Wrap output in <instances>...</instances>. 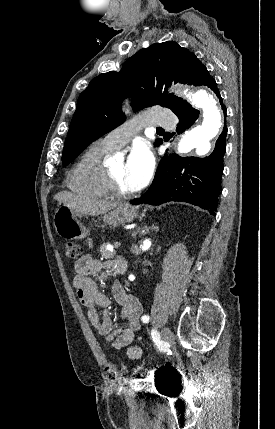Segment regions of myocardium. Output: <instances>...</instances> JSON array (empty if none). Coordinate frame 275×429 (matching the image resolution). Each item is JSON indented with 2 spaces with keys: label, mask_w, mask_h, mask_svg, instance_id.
I'll return each mask as SVG.
<instances>
[{
  "label": "myocardium",
  "mask_w": 275,
  "mask_h": 429,
  "mask_svg": "<svg viewBox=\"0 0 275 429\" xmlns=\"http://www.w3.org/2000/svg\"><path fill=\"white\" fill-rule=\"evenodd\" d=\"M106 176H107V184H108V190L109 193L113 196L125 198L132 196L134 193L131 191H125L123 190L119 184L116 178L114 177L113 173L111 172L110 168H106Z\"/></svg>",
  "instance_id": "myocardium-1"
}]
</instances>
